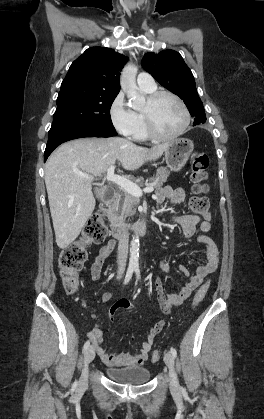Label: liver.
Returning a JSON list of instances; mask_svg holds the SVG:
<instances>
[{"label": "liver", "mask_w": 264, "mask_h": 419, "mask_svg": "<svg viewBox=\"0 0 264 419\" xmlns=\"http://www.w3.org/2000/svg\"><path fill=\"white\" fill-rule=\"evenodd\" d=\"M167 147L168 144H160L148 149L119 137L82 138L58 147L45 165V184L58 247L67 248L91 216L96 204L92 193L95 177L117 160L124 169L136 170L161 157Z\"/></svg>", "instance_id": "1"}]
</instances>
